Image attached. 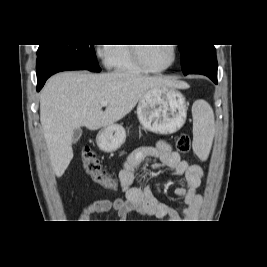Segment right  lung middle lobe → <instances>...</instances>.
Masks as SVG:
<instances>
[{"label":"right lung middle lobe","mask_w":267,"mask_h":267,"mask_svg":"<svg viewBox=\"0 0 267 267\" xmlns=\"http://www.w3.org/2000/svg\"><path fill=\"white\" fill-rule=\"evenodd\" d=\"M93 46L94 45L81 44L39 45L37 55L39 56L46 53L55 54L64 57L89 71L100 72L101 69L98 65Z\"/></svg>","instance_id":"obj_1"}]
</instances>
